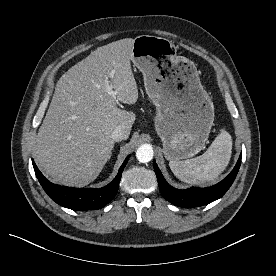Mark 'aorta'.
Wrapping results in <instances>:
<instances>
[{"mask_svg":"<svg viewBox=\"0 0 276 276\" xmlns=\"http://www.w3.org/2000/svg\"><path fill=\"white\" fill-rule=\"evenodd\" d=\"M136 157L139 162L147 163L153 158V148L149 144L141 145L136 151Z\"/></svg>","mask_w":276,"mask_h":276,"instance_id":"aorta-1","label":"aorta"}]
</instances>
